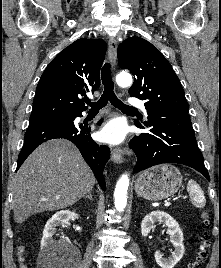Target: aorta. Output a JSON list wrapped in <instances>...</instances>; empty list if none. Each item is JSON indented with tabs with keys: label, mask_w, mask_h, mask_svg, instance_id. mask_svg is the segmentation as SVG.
<instances>
[{
	"label": "aorta",
	"mask_w": 221,
	"mask_h": 268,
	"mask_svg": "<svg viewBox=\"0 0 221 268\" xmlns=\"http://www.w3.org/2000/svg\"><path fill=\"white\" fill-rule=\"evenodd\" d=\"M116 82L121 87H129L132 85V76L129 73H119L116 76ZM129 176L123 174L117 181L114 191V204L117 211L121 212L127 205V191L129 187Z\"/></svg>",
	"instance_id": "obj_1"
}]
</instances>
